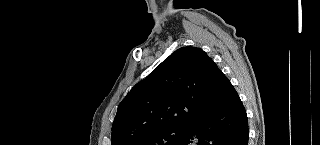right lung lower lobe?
Returning <instances> with one entry per match:
<instances>
[{"mask_svg": "<svg viewBox=\"0 0 320 145\" xmlns=\"http://www.w3.org/2000/svg\"><path fill=\"white\" fill-rule=\"evenodd\" d=\"M213 108L187 124L175 145H247L249 129L245 108L230 81L222 78Z\"/></svg>", "mask_w": 320, "mask_h": 145, "instance_id": "obj_1", "label": "right lung lower lobe"}]
</instances>
